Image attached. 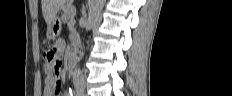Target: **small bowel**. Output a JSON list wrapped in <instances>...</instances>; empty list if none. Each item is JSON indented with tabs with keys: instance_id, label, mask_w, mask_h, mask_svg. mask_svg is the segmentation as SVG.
Masks as SVG:
<instances>
[{
	"instance_id": "c3829d8e",
	"label": "small bowel",
	"mask_w": 232,
	"mask_h": 96,
	"mask_svg": "<svg viewBox=\"0 0 232 96\" xmlns=\"http://www.w3.org/2000/svg\"><path fill=\"white\" fill-rule=\"evenodd\" d=\"M69 35H78V30H69ZM73 43H81V38H73ZM61 52V49L64 46V42L62 40H59L56 45ZM60 82L56 81V79L52 76H48L45 79L44 82V96H51L52 95V87L59 86ZM54 96H61V93H54Z\"/></svg>"
}]
</instances>
